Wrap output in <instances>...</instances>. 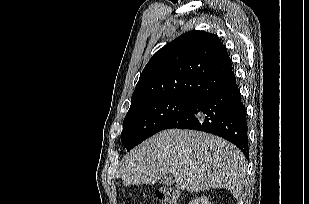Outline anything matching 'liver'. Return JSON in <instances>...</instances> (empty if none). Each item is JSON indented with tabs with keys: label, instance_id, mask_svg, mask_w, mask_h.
<instances>
[{
	"label": "liver",
	"instance_id": "liver-1",
	"mask_svg": "<svg viewBox=\"0 0 309 204\" xmlns=\"http://www.w3.org/2000/svg\"><path fill=\"white\" fill-rule=\"evenodd\" d=\"M247 163L228 141L194 130H163L125 156L119 170L124 186L154 184L167 173L186 191L225 188L238 198Z\"/></svg>",
	"mask_w": 309,
	"mask_h": 204
}]
</instances>
